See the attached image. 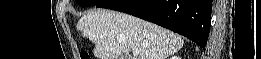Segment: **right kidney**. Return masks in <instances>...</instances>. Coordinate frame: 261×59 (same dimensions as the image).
I'll use <instances>...</instances> for the list:
<instances>
[{"label":"right kidney","mask_w":261,"mask_h":59,"mask_svg":"<svg viewBox=\"0 0 261 59\" xmlns=\"http://www.w3.org/2000/svg\"><path fill=\"white\" fill-rule=\"evenodd\" d=\"M171 59H179V57L173 56V57H171Z\"/></svg>","instance_id":"1"}]
</instances>
